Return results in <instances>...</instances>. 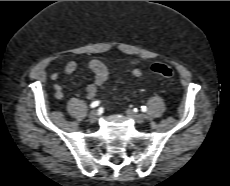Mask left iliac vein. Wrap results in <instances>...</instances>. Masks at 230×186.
Segmentation results:
<instances>
[{
  "mask_svg": "<svg viewBox=\"0 0 230 186\" xmlns=\"http://www.w3.org/2000/svg\"><path fill=\"white\" fill-rule=\"evenodd\" d=\"M126 114H127L128 117L133 119L136 123H142L144 121V118H145L143 114L135 113L130 109H128L126 111Z\"/></svg>",
  "mask_w": 230,
  "mask_h": 186,
  "instance_id": "left-iliac-vein-1",
  "label": "left iliac vein"
}]
</instances>
